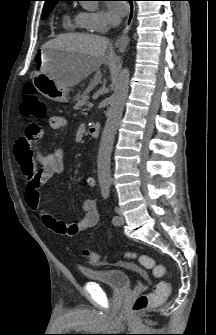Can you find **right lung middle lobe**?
Segmentation results:
<instances>
[{
    "label": "right lung middle lobe",
    "mask_w": 216,
    "mask_h": 335,
    "mask_svg": "<svg viewBox=\"0 0 216 335\" xmlns=\"http://www.w3.org/2000/svg\"><path fill=\"white\" fill-rule=\"evenodd\" d=\"M56 4L44 6L42 19L46 18Z\"/></svg>",
    "instance_id": "dd1d6c3e"
}]
</instances>
